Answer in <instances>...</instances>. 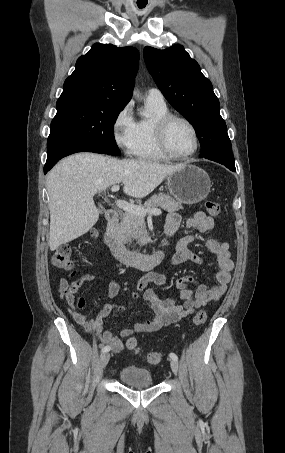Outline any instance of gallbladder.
I'll list each match as a JSON object with an SVG mask.
<instances>
[{"label":"gallbladder","mask_w":285,"mask_h":453,"mask_svg":"<svg viewBox=\"0 0 285 453\" xmlns=\"http://www.w3.org/2000/svg\"><path fill=\"white\" fill-rule=\"evenodd\" d=\"M99 211H100V212H104L105 209H104L102 206H100V207H99Z\"/></svg>","instance_id":"obj_1"}]
</instances>
